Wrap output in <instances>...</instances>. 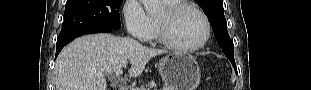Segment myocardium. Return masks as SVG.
Segmentation results:
<instances>
[{"mask_svg": "<svg viewBox=\"0 0 311 90\" xmlns=\"http://www.w3.org/2000/svg\"><path fill=\"white\" fill-rule=\"evenodd\" d=\"M184 9H192L198 13L205 25V34L202 40L190 46H183L175 43L169 33L168 22ZM156 23L159 41L167 48L177 52L189 53L199 50L207 44L211 36V24L207 15L196 5L188 2H179L178 4L167 7L165 9V16L163 18H157Z\"/></svg>", "mask_w": 311, "mask_h": 90, "instance_id": "1", "label": "myocardium"}]
</instances>
